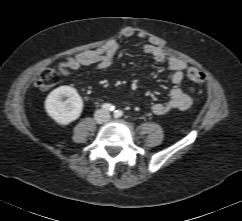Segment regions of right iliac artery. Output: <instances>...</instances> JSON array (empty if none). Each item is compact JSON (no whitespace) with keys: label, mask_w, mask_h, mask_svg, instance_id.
I'll return each mask as SVG.
<instances>
[{"label":"right iliac artery","mask_w":242,"mask_h":221,"mask_svg":"<svg viewBox=\"0 0 242 221\" xmlns=\"http://www.w3.org/2000/svg\"><path fill=\"white\" fill-rule=\"evenodd\" d=\"M102 109L109 112V111H113L115 107L112 104L104 103L102 105Z\"/></svg>","instance_id":"obj_1"}]
</instances>
